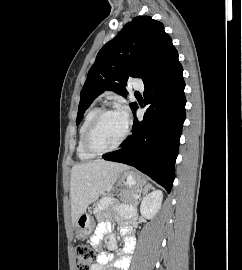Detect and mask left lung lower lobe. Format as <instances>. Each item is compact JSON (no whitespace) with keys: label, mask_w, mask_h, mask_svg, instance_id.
I'll use <instances>...</instances> for the list:
<instances>
[{"label":"left lung lower lobe","mask_w":242,"mask_h":270,"mask_svg":"<svg viewBox=\"0 0 242 270\" xmlns=\"http://www.w3.org/2000/svg\"><path fill=\"white\" fill-rule=\"evenodd\" d=\"M183 69L176 57L144 82L147 110L143 121L135 117L133 134L123 148L104 154L109 161L134 166L168 192L171 191L178 155L179 139L185 120V82ZM133 113L135 116L136 109Z\"/></svg>","instance_id":"0a47b994"}]
</instances>
